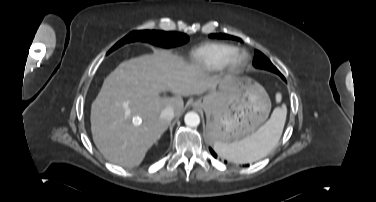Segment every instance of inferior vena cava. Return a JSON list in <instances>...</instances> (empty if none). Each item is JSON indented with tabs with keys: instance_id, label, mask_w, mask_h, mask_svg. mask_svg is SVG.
Segmentation results:
<instances>
[{
	"instance_id": "1",
	"label": "inferior vena cava",
	"mask_w": 376,
	"mask_h": 202,
	"mask_svg": "<svg viewBox=\"0 0 376 202\" xmlns=\"http://www.w3.org/2000/svg\"><path fill=\"white\" fill-rule=\"evenodd\" d=\"M160 118L162 120L171 121L174 118V110H173V108L172 107L165 108L161 112Z\"/></svg>"
}]
</instances>
